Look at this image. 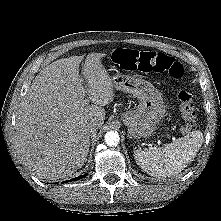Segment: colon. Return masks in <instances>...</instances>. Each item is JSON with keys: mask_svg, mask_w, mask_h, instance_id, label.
I'll return each instance as SVG.
<instances>
[{"mask_svg": "<svg viewBox=\"0 0 221 221\" xmlns=\"http://www.w3.org/2000/svg\"><path fill=\"white\" fill-rule=\"evenodd\" d=\"M112 59L122 69L128 71L166 73L178 80L184 74L182 65L163 53L118 48L112 53ZM178 100L184 120L183 131H192L197 125V115L192 96L186 91H181Z\"/></svg>", "mask_w": 221, "mask_h": 221, "instance_id": "5ec220e1", "label": "colon"}]
</instances>
